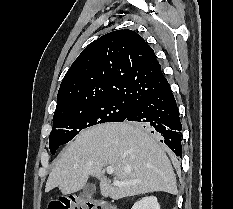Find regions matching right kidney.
Instances as JSON below:
<instances>
[{"label": "right kidney", "mask_w": 233, "mask_h": 209, "mask_svg": "<svg viewBox=\"0 0 233 209\" xmlns=\"http://www.w3.org/2000/svg\"><path fill=\"white\" fill-rule=\"evenodd\" d=\"M131 209H160V205L156 197L149 196L137 201Z\"/></svg>", "instance_id": "ca27d5eb"}]
</instances>
